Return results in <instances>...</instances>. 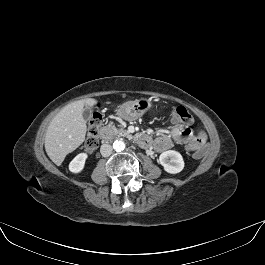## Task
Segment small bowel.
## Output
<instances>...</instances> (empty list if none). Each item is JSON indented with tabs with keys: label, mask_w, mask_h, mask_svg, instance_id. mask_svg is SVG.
I'll return each mask as SVG.
<instances>
[{
	"label": "small bowel",
	"mask_w": 265,
	"mask_h": 265,
	"mask_svg": "<svg viewBox=\"0 0 265 265\" xmlns=\"http://www.w3.org/2000/svg\"><path fill=\"white\" fill-rule=\"evenodd\" d=\"M172 122L175 124L169 134L161 135L153 142V147L158 152L168 150L174 143L184 145L188 151H204L206 144V136L199 133L192 135L190 128L180 123L176 118L172 117Z\"/></svg>",
	"instance_id": "c3829d8e"
}]
</instances>
